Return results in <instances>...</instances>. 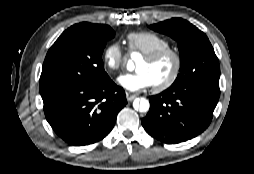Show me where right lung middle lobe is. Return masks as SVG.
Segmentation results:
<instances>
[{"instance_id": "1", "label": "right lung middle lobe", "mask_w": 254, "mask_h": 174, "mask_svg": "<svg viewBox=\"0 0 254 174\" xmlns=\"http://www.w3.org/2000/svg\"><path fill=\"white\" fill-rule=\"evenodd\" d=\"M110 26L79 23L65 30L49 49L40 76V94L68 86L98 84L109 76L102 53L113 38Z\"/></svg>"}]
</instances>
